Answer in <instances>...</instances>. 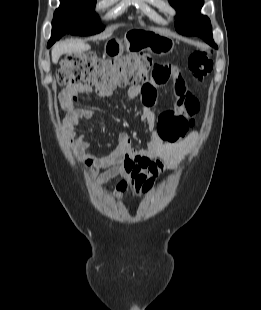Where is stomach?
Masks as SVG:
<instances>
[{
    "label": "stomach",
    "mask_w": 261,
    "mask_h": 310,
    "mask_svg": "<svg viewBox=\"0 0 261 310\" xmlns=\"http://www.w3.org/2000/svg\"><path fill=\"white\" fill-rule=\"evenodd\" d=\"M125 48L132 51L147 50L156 55H166L173 50L174 41L155 31L134 29L126 34L124 44L118 39L108 40L104 52L109 57H119Z\"/></svg>",
    "instance_id": "0dacf381"
}]
</instances>
